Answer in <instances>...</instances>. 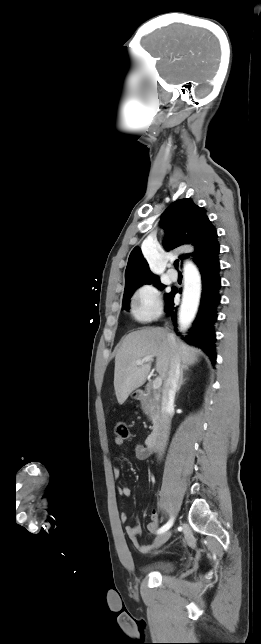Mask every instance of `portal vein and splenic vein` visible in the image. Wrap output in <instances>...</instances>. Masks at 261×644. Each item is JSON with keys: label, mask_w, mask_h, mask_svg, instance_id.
Listing matches in <instances>:
<instances>
[{"label": "portal vein and splenic vein", "mask_w": 261, "mask_h": 644, "mask_svg": "<svg viewBox=\"0 0 261 644\" xmlns=\"http://www.w3.org/2000/svg\"><path fill=\"white\" fill-rule=\"evenodd\" d=\"M151 361H153V358L148 356V357H144V358H142L140 360H137L136 364L137 365H142L143 363L151 362ZM161 385H162V378L161 377H156L155 380L153 381V384H152L153 389H158V388L161 387Z\"/></svg>", "instance_id": "obj_1"}]
</instances>
